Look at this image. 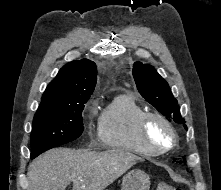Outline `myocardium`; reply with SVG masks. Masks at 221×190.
Masks as SVG:
<instances>
[{"mask_svg": "<svg viewBox=\"0 0 221 190\" xmlns=\"http://www.w3.org/2000/svg\"><path fill=\"white\" fill-rule=\"evenodd\" d=\"M152 120H158L166 127L171 136V142L169 145L158 147L150 141L147 130L148 125ZM138 134L141 142L153 154H161L170 151L174 149L178 143L177 133L170 121L165 116L155 111H147L140 117L138 122Z\"/></svg>", "mask_w": 221, "mask_h": 190, "instance_id": "obj_1", "label": "myocardium"}]
</instances>
